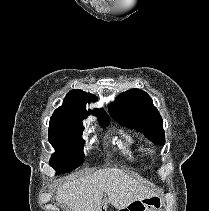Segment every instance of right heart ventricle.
Returning <instances> with one entry per match:
<instances>
[{
	"instance_id": "right-heart-ventricle-1",
	"label": "right heart ventricle",
	"mask_w": 209,
	"mask_h": 211,
	"mask_svg": "<svg viewBox=\"0 0 209 211\" xmlns=\"http://www.w3.org/2000/svg\"><path fill=\"white\" fill-rule=\"evenodd\" d=\"M135 151H137V153H141L143 151V147L141 145H138L136 148H135Z\"/></svg>"
}]
</instances>
